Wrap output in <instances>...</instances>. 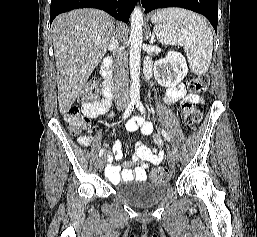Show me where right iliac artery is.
I'll return each instance as SVG.
<instances>
[{
	"instance_id": "82829eb1",
	"label": "right iliac artery",
	"mask_w": 257,
	"mask_h": 237,
	"mask_svg": "<svg viewBox=\"0 0 257 237\" xmlns=\"http://www.w3.org/2000/svg\"><path fill=\"white\" fill-rule=\"evenodd\" d=\"M134 105H135L134 102H130V104L128 105V107L126 108V110H125V112L123 114V119L127 118L131 114V112L134 109ZM103 153H104V149L102 148L99 151V157H101L103 155Z\"/></svg>"
}]
</instances>
